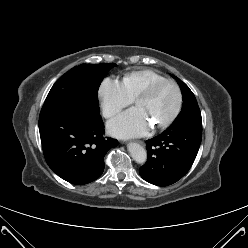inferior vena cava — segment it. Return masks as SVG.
Masks as SVG:
<instances>
[{"mask_svg":"<svg viewBox=\"0 0 248 248\" xmlns=\"http://www.w3.org/2000/svg\"><path fill=\"white\" fill-rule=\"evenodd\" d=\"M112 114H113V112L110 111V110H106V111L103 112V116L106 117V118L112 116Z\"/></svg>","mask_w":248,"mask_h":248,"instance_id":"obj_1","label":"inferior vena cava"}]
</instances>
